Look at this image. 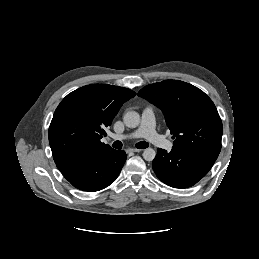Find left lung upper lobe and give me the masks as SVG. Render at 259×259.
<instances>
[{
  "label": "left lung upper lobe",
  "instance_id": "5c2ea615",
  "mask_svg": "<svg viewBox=\"0 0 259 259\" xmlns=\"http://www.w3.org/2000/svg\"><path fill=\"white\" fill-rule=\"evenodd\" d=\"M138 96L162 110L173 134V149L220 153L222 122L203 91L186 82L165 80L145 86Z\"/></svg>",
  "mask_w": 259,
  "mask_h": 259
}]
</instances>
